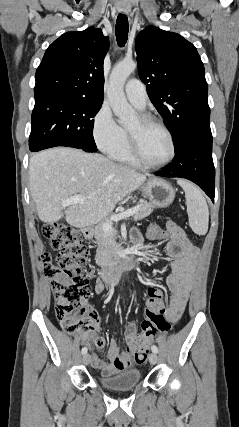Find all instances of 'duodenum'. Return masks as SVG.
I'll list each match as a JSON object with an SVG mask.
<instances>
[{
	"label": "duodenum",
	"mask_w": 239,
	"mask_h": 427,
	"mask_svg": "<svg viewBox=\"0 0 239 427\" xmlns=\"http://www.w3.org/2000/svg\"><path fill=\"white\" fill-rule=\"evenodd\" d=\"M83 232L86 236H90L91 229L84 228ZM136 263V249H132L113 262L100 263L98 273L104 281L116 282L125 271L132 269Z\"/></svg>",
	"instance_id": "duodenum-1"
}]
</instances>
